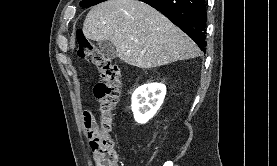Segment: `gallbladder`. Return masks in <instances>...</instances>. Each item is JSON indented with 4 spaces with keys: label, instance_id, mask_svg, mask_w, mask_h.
<instances>
[{
    "label": "gallbladder",
    "instance_id": "obj_1",
    "mask_svg": "<svg viewBox=\"0 0 277 166\" xmlns=\"http://www.w3.org/2000/svg\"><path fill=\"white\" fill-rule=\"evenodd\" d=\"M98 46L105 57L109 59L116 58L117 56L116 48L111 41H108V40L100 41L98 42Z\"/></svg>",
    "mask_w": 277,
    "mask_h": 166
}]
</instances>
